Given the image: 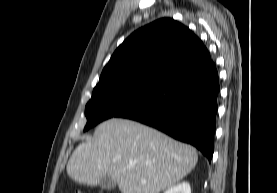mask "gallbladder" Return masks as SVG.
Masks as SVG:
<instances>
[{
    "label": "gallbladder",
    "mask_w": 277,
    "mask_h": 193,
    "mask_svg": "<svg viewBox=\"0 0 277 193\" xmlns=\"http://www.w3.org/2000/svg\"><path fill=\"white\" fill-rule=\"evenodd\" d=\"M98 185L103 190H112L116 187V182L110 177L105 176L100 180Z\"/></svg>",
    "instance_id": "obj_1"
}]
</instances>
